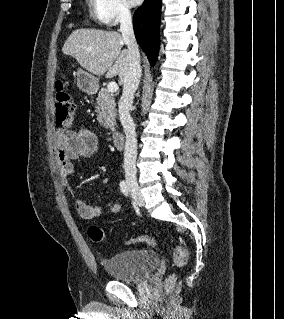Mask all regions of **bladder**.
Wrapping results in <instances>:
<instances>
[{
    "label": "bladder",
    "instance_id": "bladder-1",
    "mask_svg": "<svg viewBox=\"0 0 284 319\" xmlns=\"http://www.w3.org/2000/svg\"><path fill=\"white\" fill-rule=\"evenodd\" d=\"M159 263V257L153 250L134 249L114 254L104 260L108 274L122 282L140 280L150 274Z\"/></svg>",
    "mask_w": 284,
    "mask_h": 319
}]
</instances>
